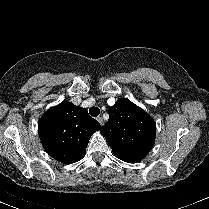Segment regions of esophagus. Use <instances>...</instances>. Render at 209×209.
<instances>
[{
	"mask_svg": "<svg viewBox=\"0 0 209 209\" xmlns=\"http://www.w3.org/2000/svg\"><path fill=\"white\" fill-rule=\"evenodd\" d=\"M97 121L99 122V124H100L101 126H103L104 121H103V118H102V117H97Z\"/></svg>",
	"mask_w": 209,
	"mask_h": 209,
	"instance_id": "obj_1",
	"label": "esophagus"
}]
</instances>
